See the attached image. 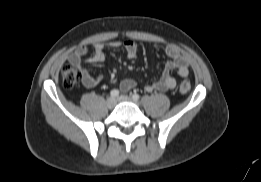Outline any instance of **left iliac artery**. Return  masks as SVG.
<instances>
[{
    "label": "left iliac artery",
    "instance_id": "left-iliac-artery-1",
    "mask_svg": "<svg viewBox=\"0 0 261 182\" xmlns=\"http://www.w3.org/2000/svg\"><path fill=\"white\" fill-rule=\"evenodd\" d=\"M132 98L137 101V100H139L140 96H139V94L134 93V94L132 95Z\"/></svg>",
    "mask_w": 261,
    "mask_h": 182
}]
</instances>
